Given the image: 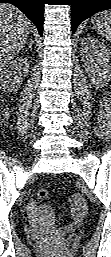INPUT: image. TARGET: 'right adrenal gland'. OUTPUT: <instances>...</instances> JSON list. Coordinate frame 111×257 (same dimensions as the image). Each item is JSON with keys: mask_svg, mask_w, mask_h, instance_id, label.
<instances>
[{"mask_svg": "<svg viewBox=\"0 0 111 257\" xmlns=\"http://www.w3.org/2000/svg\"><path fill=\"white\" fill-rule=\"evenodd\" d=\"M29 48H32V39L29 40V43L27 44Z\"/></svg>", "mask_w": 111, "mask_h": 257, "instance_id": "1", "label": "right adrenal gland"}]
</instances>
